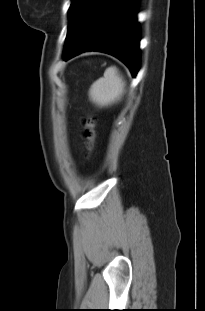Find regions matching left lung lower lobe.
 Listing matches in <instances>:
<instances>
[{"label": "left lung lower lobe", "instance_id": "obj_1", "mask_svg": "<svg viewBox=\"0 0 205 311\" xmlns=\"http://www.w3.org/2000/svg\"><path fill=\"white\" fill-rule=\"evenodd\" d=\"M137 0H119L110 14L81 43L63 54L64 60L85 51H100L123 61L136 76L140 66Z\"/></svg>", "mask_w": 205, "mask_h": 311}]
</instances>
